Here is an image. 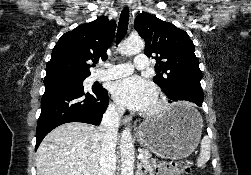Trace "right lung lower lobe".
Instances as JSON below:
<instances>
[{"label":"right lung lower lobe","instance_id":"right-lung-lower-lobe-1","mask_svg":"<svg viewBox=\"0 0 251 175\" xmlns=\"http://www.w3.org/2000/svg\"><path fill=\"white\" fill-rule=\"evenodd\" d=\"M45 87L36 130L35 150L43 138L61 124H100L108 106V93L102 86L93 88L90 92L85 91L83 85L70 82H49Z\"/></svg>","mask_w":251,"mask_h":175}]
</instances>
